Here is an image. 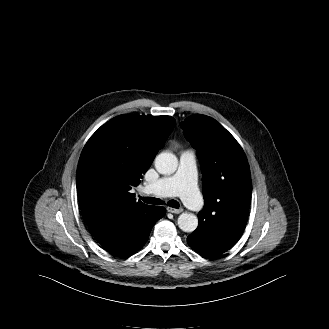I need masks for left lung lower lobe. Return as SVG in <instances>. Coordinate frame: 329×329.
<instances>
[{"instance_id":"obj_1","label":"left lung lower lobe","mask_w":329,"mask_h":329,"mask_svg":"<svg viewBox=\"0 0 329 329\" xmlns=\"http://www.w3.org/2000/svg\"><path fill=\"white\" fill-rule=\"evenodd\" d=\"M246 222L247 220L229 222L226 227L212 229L198 225V228L187 237V242L195 251L205 256L220 255L237 243Z\"/></svg>"}]
</instances>
